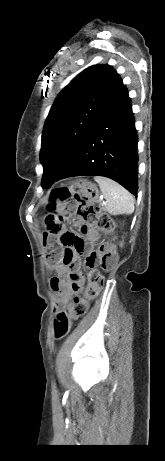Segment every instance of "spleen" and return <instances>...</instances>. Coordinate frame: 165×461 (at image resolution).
<instances>
[{
  "mask_svg": "<svg viewBox=\"0 0 165 461\" xmlns=\"http://www.w3.org/2000/svg\"><path fill=\"white\" fill-rule=\"evenodd\" d=\"M94 180L99 184L107 203L105 210L113 215L132 214L134 211V198L123 186L117 182L96 176Z\"/></svg>",
  "mask_w": 165,
  "mask_h": 461,
  "instance_id": "spleen-1",
  "label": "spleen"
}]
</instances>
